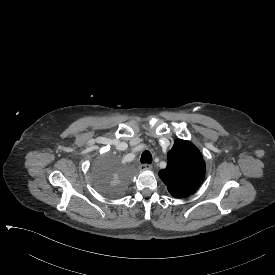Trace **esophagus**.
<instances>
[{"instance_id":"34e87169","label":"esophagus","mask_w":275,"mask_h":275,"mask_svg":"<svg viewBox=\"0 0 275 275\" xmlns=\"http://www.w3.org/2000/svg\"><path fill=\"white\" fill-rule=\"evenodd\" d=\"M139 169H140L141 171L151 170V169H152V165L147 164V163L141 164V165L139 166Z\"/></svg>"}]
</instances>
